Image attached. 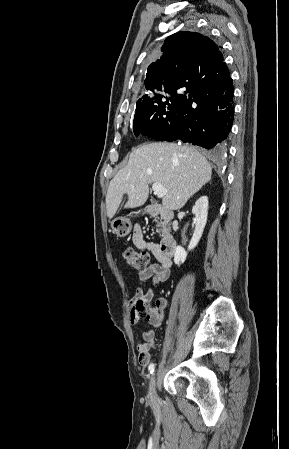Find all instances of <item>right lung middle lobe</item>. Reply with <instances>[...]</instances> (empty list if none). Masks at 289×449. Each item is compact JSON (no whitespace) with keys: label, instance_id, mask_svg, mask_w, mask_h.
I'll return each mask as SVG.
<instances>
[{"label":"right lung middle lobe","instance_id":"obj_1","mask_svg":"<svg viewBox=\"0 0 289 449\" xmlns=\"http://www.w3.org/2000/svg\"><path fill=\"white\" fill-rule=\"evenodd\" d=\"M162 92L167 95L155 93L154 96L137 102L133 121L135 135L142 133L153 138L173 122L179 104L177 88Z\"/></svg>","mask_w":289,"mask_h":449}]
</instances>
